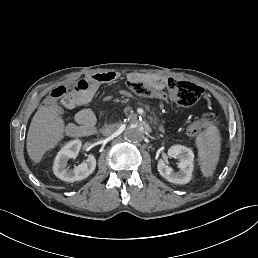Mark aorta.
<instances>
[{
    "instance_id": "762f6f07",
    "label": "aorta",
    "mask_w": 258,
    "mask_h": 258,
    "mask_svg": "<svg viewBox=\"0 0 258 258\" xmlns=\"http://www.w3.org/2000/svg\"><path fill=\"white\" fill-rule=\"evenodd\" d=\"M125 138L130 142H139L144 137L142 127L137 123H131L124 131Z\"/></svg>"
}]
</instances>
